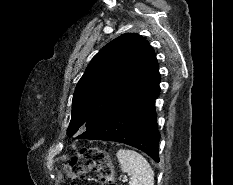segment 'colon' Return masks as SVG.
I'll return each mask as SVG.
<instances>
[{
	"instance_id": "obj_1",
	"label": "colon",
	"mask_w": 233,
	"mask_h": 185,
	"mask_svg": "<svg viewBox=\"0 0 233 185\" xmlns=\"http://www.w3.org/2000/svg\"><path fill=\"white\" fill-rule=\"evenodd\" d=\"M69 179L82 178L88 172H94L98 179L113 184V167L106 151L97 147H84L65 167Z\"/></svg>"
}]
</instances>
